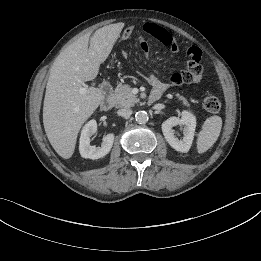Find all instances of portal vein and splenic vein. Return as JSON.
I'll use <instances>...</instances> for the list:
<instances>
[{
	"label": "portal vein and splenic vein",
	"instance_id": "portal-vein-and-splenic-vein-1",
	"mask_svg": "<svg viewBox=\"0 0 261 261\" xmlns=\"http://www.w3.org/2000/svg\"><path fill=\"white\" fill-rule=\"evenodd\" d=\"M79 91H80V93H82V94L85 93L86 87H81Z\"/></svg>",
	"mask_w": 261,
	"mask_h": 261
}]
</instances>
